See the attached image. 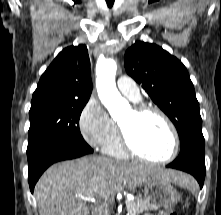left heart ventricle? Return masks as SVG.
<instances>
[{
	"mask_svg": "<svg viewBox=\"0 0 221 215\" xmlns=\"http://www.w3.org/2000/svg\"><path fill=\"white\" fill-rule=\"evenodd\" d=\"M120 124L127 131L134 147L144 156L161 160L171 153V134L158 115L148 113L136 116L131 110Z\"/></svg>",
	"mask_w": 221,
	"mask_h": 215,
	"instance_id": "obj_1",
	"label": "left heart ventricle"
}]
</instances>
